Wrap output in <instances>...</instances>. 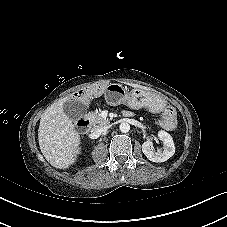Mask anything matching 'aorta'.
I'll return each mask as SVG.
<instances>
[{
  "label": "aorta",
  "instance_id": "obj_1",
  "mask_svg": "<svg viewBox=\"0 0 227 227\" xmlns=\"http://www.w3.org/2000/svg\"><path fill=\"white\" fill-rule=\"evenodd\" d=\"M119 129L122 133H127L130 130V125L126 122L120 124Z\"/></svg>",
  "mask_w": 227,
  "mask_h": 227
}]
</instances>
